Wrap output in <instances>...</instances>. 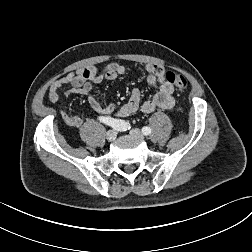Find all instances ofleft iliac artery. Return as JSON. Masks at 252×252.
<instances>
[{
	"label": "left iliac artery",
	"mask_w": 252,
	"mask_h": 252,
	"mask_svg": "<svg viewBox=\"0 0 252 252\" xmlns=\"http://www.w3.org/2000/svg\"><path fill=\"white\" fill-rule=\"evenodd\" d=\"M142 132H143V134L144 135H150L151 134V128L150 127H148V126H145V127H143L142 128Z\"/></svg>",
	"instance_id": "1"
}]
</instances>
